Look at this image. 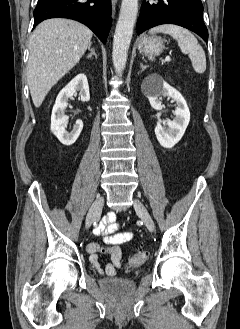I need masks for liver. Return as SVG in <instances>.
<instances>
[{
    "mask_svg": "<svg viewBox=\"0 0 240 329\" xmlns=\"http://www.w3.org/2000/svg\"><path fill=\"white\" fill-rule=\"evenodd\" d=\"M92 31L68 19L40 23L29 42L27 82L35 107L81 59L91 45Z\"/></svg>",
    "mask_w": 240,
    "mask_h": 329,
    "instance_id": "6515ba94",
    "label": "liver"
}]
</instances>
